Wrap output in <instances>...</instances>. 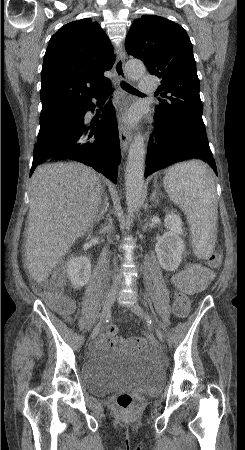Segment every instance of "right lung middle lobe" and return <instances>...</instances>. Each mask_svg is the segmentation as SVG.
<instances>
[{
  "instance_id": "obj_1",
  "label": "right lung middle lobe",
  "mask_w": 245,
  "mask_h": 450,
  "mask_svg": "<svg viewBox=\"0 0 245 450\" xmlns=\"http://www.w3.org/2000/svg\"><path fill=\"white\" fill-rule=\"evenodd\" d=\"M72 108L54 109L48 111H42L40 115V131L38 138L43 137L47 130L53 125L54 120L62 114L70 111Z\"/></svg>"
}]
</instances>
